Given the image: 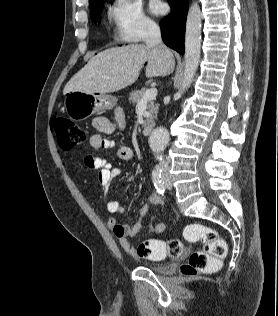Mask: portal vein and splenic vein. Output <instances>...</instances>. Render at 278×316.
<instances>
[{"label": "portal vein and splenic vein", "instance_id": "18ae733b", "mask_svg": "<svg viewBox=\"0 0 278 316\" xmlns=\"http://www.w3.org/2000/svg\"><path fill=\"white\" fill-rule=\"evenodd\" d=\"M105 78H106V79H110L109 76H106ZM156 96H157V88L152 87V88L148 89V90L145 92L144 96H143L142 99L138 102V104H141V103H143V102H147V101H149V100L155 99Z\"/></svg>", "mask_w": 278, "mask_h": 316}]
</instances>
